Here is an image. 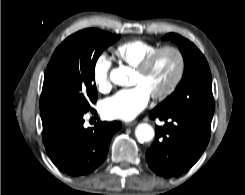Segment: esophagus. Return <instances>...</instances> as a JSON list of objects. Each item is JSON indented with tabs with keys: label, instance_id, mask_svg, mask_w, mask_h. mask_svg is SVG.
Returning a JSON list of instances; mask_svg holds the SVG:
<instances>
[{
	"label": "esophagus",
	"instance_id": "1",
	"mask_svg": "<svg viewBox=\"0 0 245 195\" xmlns=\"http://www.w3.org/2000/svg\"><path fill=\"white\" fill-rule=\"evenodd\" d=\"M137 124V121H132V122H126L125 125L128 127L134 126Z\"/></svg>",
	"mask_w": 245,
	"mask_h": 195
}]
</instances>
